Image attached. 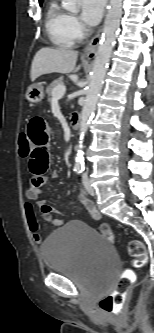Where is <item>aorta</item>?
Returning a JSON list of instances; mask_svg holds the SVG:
<instances>
[{"instance_id":"aorta-1","label":"aorta","mask_w":154,"mask_h":333,"mask_svg":"<svg viewBox=\"0 0 154 333\" xmlns=\"http://www.w3.org/2000/svg\"><path fill=\"white\" fill-rule=\"evenodd\" d=\"M63 6L67 11L72 13H78L80 9L79 0H63ZM121 17L122 0H110L109 9L104 22L103 34L95 56L90 82L86 91L85 103L80 117L79 146L75 157V168L79 170L84 168L83 139L88 130L90 121L94 116L116 35L120 27Z\"/></svg>"}]
</instances>
